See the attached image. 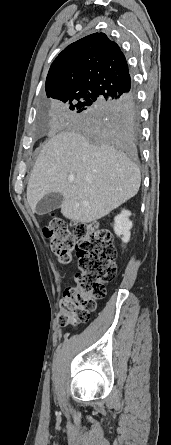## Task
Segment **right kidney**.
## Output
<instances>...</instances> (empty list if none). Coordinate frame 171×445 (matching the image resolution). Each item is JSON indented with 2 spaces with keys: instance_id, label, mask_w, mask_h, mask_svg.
<instances>
[{
  "instance_id": "right-kidney-1",
  "label": "right kidney",
  "mask_w": 171,
  "mask_h": 445,
  "mask_svg": "<svg viewBox=\"0 0 171 445\" xmlns=\"http://www.w3.org/2000/svg\"><path fill=\"white\" fill-rule=\"evenodd\" d=\"M130 215L131 212L124 209L114 219V232L117 236H121L124 243H128L131 236L132 222L129 220Z\"/></svg>"
}]
</instances>
